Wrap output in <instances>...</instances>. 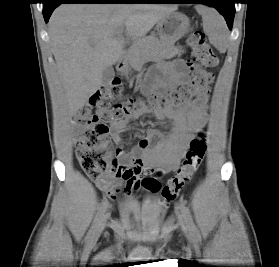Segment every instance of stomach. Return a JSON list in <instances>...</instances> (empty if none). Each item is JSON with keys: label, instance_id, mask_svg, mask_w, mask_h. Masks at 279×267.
Returning <instances> with one entry per match:
<instances>
[{"label": "stomach", "instance_id": "obj_1", "mask_svg": "<svg viewBox=\"0 0 279 267\" xmlns=\"http://www.w3.org/2000/svg\"><path fill=\"white\" fill-rule=\"evenodd\" d=\"M188 29V17L176 11L167 13L157 22V31L163 44L173 45Z\"/></svg>", "mask_w": 279, "mask_h": 267}]
</instances>
